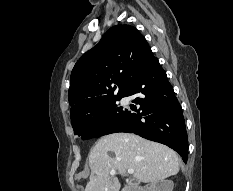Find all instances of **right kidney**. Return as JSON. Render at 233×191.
<instances>
[{
  "label": "right kidney",
  "instance_id": "ca27d5eb",
  "mask_svg": "<svg viewBox=\"0 0 233 191\" xmlns=\"http://www.w3.org/2000/svg\"><path fill=\"white\" fill-rule=\"evenodd\" d=\"M173 181L171 180H162L158 184L151 187V191H172L173 190Z\"/></svg>",
  "mask_w": 233,
  "mask_h": 191
}]
</instances>
